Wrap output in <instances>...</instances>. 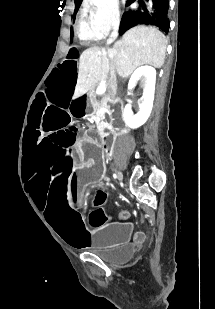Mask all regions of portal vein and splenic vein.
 <instances>
[{"mask_svg":"<svg viewBox=\"0 0 215 309\" xmlns=\"http://www.w3.org/2000/svg\"><path fill=\"white\" fill-rule=\"evenodd\" d=\"M105 90H106L105 84H101V86H97L96 94H104Z\"/></svg>","mask_w":215,"mask_h":309,"instance_id":"portal-vein-and-splenic-vein-1","label":"portal vein and splenic vein"}]
</instances>
